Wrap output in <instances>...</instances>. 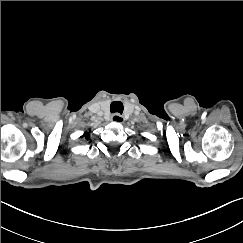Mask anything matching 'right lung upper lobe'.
<instances>
[{"label": "right lung upper lobe", "mask_w": 243, "mask_h": 243, "mask_svg": "<svg viewBox=\"0 0 243 243\" xmlns=\"http://www.w3.org/2000/svg\"><path fill=\"white\" fill-rule=\"evenodd\" d=\"M81 137H82V138H83V137H85V138H86V140H88V139L90 138V137H89V134H88L87 132H86V133H84V134H83V136H81Z\"/></svg>", "instance_id": "right-lung-upper-lobe-1"}]
</instances>
